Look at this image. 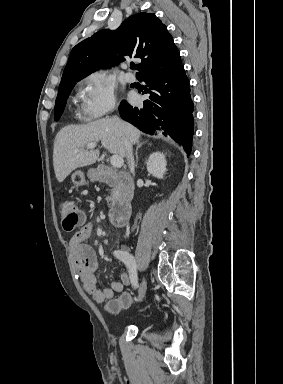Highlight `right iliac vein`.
<instances>
[{"instance_id": "63e3f726", "label": "right iliac vein", "mask_w": 283, "mask_h": 384, "mask_svg": "<svg viewBox=\"0 0 283 384\" xmlns=\"http://www.w3.org/2000/svg\"><path fill=\"white\" fill-rule=\"evenodd\" d=\"M146 289H147V283H146L145 278H143L142 283H141V288L139 290V295H138L139 301H141L143 299V297L145 296Z\"/></svg>"}]
</instances>
